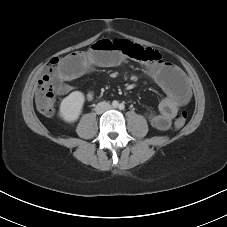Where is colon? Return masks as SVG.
Listing matches in <instances>:
<instances>
[{
	"label": "colon",
	"mask_w": 227,
	"mask_h": 227,
	"mask_svg": "<svg viewBox=\"0 0 227 227\" xmlns=\"http://www.w3.org/2000/svg\"><path fill=\"white\" fill-rule=\"evenodd\" d=\"M111 42L116 49L139 62L153 65L161 59V55L151 48H145L126 40H111ZM60 63L61 59L52 58L47 66L48 74L42 76L37 83L36 106L44 116H52L55 112V90L51 82V73L59 67ZM186 121L187 112H178L174 118L175 128H182Z\"/></svg>",
	"instance_id": "obj_1"
}]
</instances>
